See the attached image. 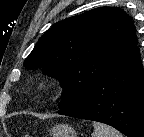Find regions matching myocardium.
<instances>
[{
	"label": "myocardium",
	"mask_w": 144,
	"mask_h": 137,
	"mask_svg": "<svg viewBox=\"0 0 144 137\" xmlns=\"http://www.w3.org/2000/svg\"><path fill=\"white\" fill-rule=\"evenodd\" d=\"M53 88L54 81L51 78H41L33 84L32 91L36 94H47L50 93Z\"/></svg>",
	"instance_id": "myocardium-1"
}]
</instances>
